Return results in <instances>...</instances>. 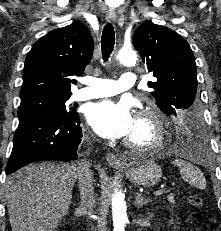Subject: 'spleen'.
<instances>
[{"label": "spleen", "instance_id": "1", "mask_svg": "<svg viewBox=\"0 0 221 231\" xmlns=\"http://www.w3.org/2000/svg\"><path fill=\"white\" fill-rule=\"evenodd\" d=\"M172 163L174 166L179 167L181 177L190 185L199 189H204L206 187V180L201 170L195 165L182 159H176Z\"/></svg>", "mask_w": 221, "mask_h": 231}]
</instances>
